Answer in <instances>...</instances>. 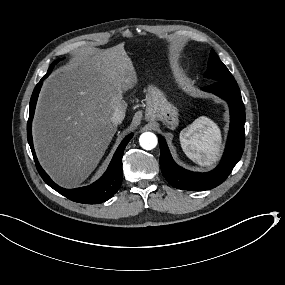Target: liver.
I'll return each instance as SVG.
<instances>
[{
    "mask_svg": "<svg viewBox=\"0 0 285 285\" xmlns=\"http://www.w3.org/2000/svg\"><path fill=\"white\" fill-rule=\"evenodd\" d=\"M134 62L123 44L78 49L77 57L45 81L33 134L38 157L64 186L81 183L108 148L125 112L123 94L137 86Z\"/></svg>",
    "mask_w": 285,
    "mask_h": 285,
    "instance_id": "6515ba94",
    "label": "liver"
}]
</instances>
